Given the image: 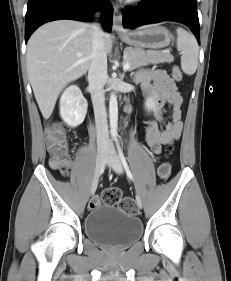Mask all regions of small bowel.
<instances>
[{
  "label": "small bowel",
  "mask_w": 231,
  "mask_h": 281,
  "mask_svg": "<svg viewBox=\"0 0 231 281\" xmlns=\"http://www.w3.org/2000/svg\"><path fill=\"white\" fill-rule=\"evenodd\" d=\"M135 80L142 85L155 105L167 104L170 108V120L163 126L153 119L146 122V144L153 154L160 155L163 145L172 143L181 136L183 98L173 80L163 70H142L136 74ZM159 120L165 121L162 116ZM62 174L66 175V172L62 171Z\"/></svg>",
  "instance_id": "obj_1"
}]
</instances>
